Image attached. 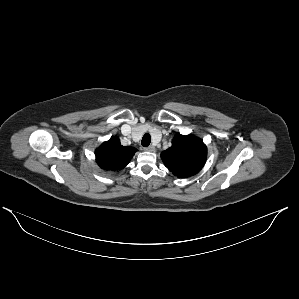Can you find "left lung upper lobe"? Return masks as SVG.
<instances>
[{
	"instance_id": "1",
	"label": "left lung upper lobe",
	"mask_w": 299,
	"mask_h": 299,
	"mask_svg": "<svg viewBox=\"0 0 299 299\" xmlns=\"http://www.w3.org/2000/svg\"><path fill=\"white\" fill-rule=\"evenodd\" d=\"M207 148L203 140L193 135L177 133L172 146L161 153L165 166L179 178L198 173L205 164Z\"/></svg>"
}]
</instances>
